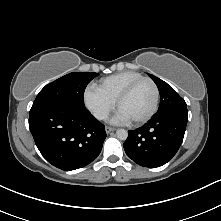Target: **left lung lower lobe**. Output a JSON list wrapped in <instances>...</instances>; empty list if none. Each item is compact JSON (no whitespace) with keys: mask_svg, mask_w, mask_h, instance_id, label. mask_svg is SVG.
<instances>
[{"mask_svg":"<svg viewBox=\"0 0 221 221\" xmlns=\"http://www.w3.org/2000/svg\"><path fill=\"white\" fill-rule=\"evenodd\" d=\"M187 108L173 109L153 116L145 125L128 131L124 149L137 164L154 168L170 161L185 134Z\"/></svg>","mask_w":221,"mask_h":221,"instance_id":"1","label":"left lung lower lobe"}]
</instances>
